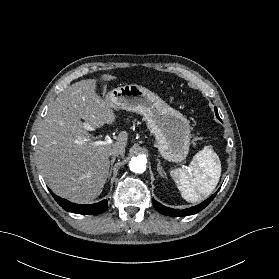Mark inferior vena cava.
Returning a JSON list of instances; mask_svg holds the SVG:
<instances>
[{
    "label": "inferior vena cava",
    "mask_w": 279,
    "mask_h": 279,
    "mask_svg": "<svg viewBox=\"0 0 279 279\" xmlns=\"http://www.w3.org/2000/svg\"><path fill=\"white\" fill-rule=\"evenodd\" d=\"M123 154H124L123 149H113L109 153L110 156H122Z\"/></svg>",
    "instance_id": "inferior-vena-cava-1"
}]
</instances>
